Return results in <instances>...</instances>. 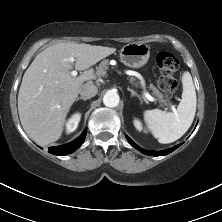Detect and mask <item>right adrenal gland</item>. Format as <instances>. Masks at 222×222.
<instances>
[{
    "label": "right adrenal gland",
    "mask_w": 222,
    "mask_h": 222,
    "mask_svg": "<svg viewBox=\"0 0 222 222\" xmlns=\"http://www.w3.org/2000/svg\"><path fill=\"white\" fill-rule=\"evenodd\" d=\"M87 99H88V98H84V97H77V98H76V102H77V101H79V100L86 101Z\"/></svg>",
    "instance_id": "obj_1"
}]
</instances>
